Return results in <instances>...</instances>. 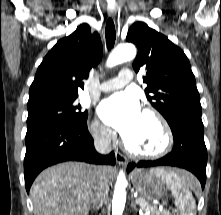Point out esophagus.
Returning <instances> with one entry per match:
<instances>
[{
  "label": "esophagus",
  "instance_id": "esophagus-1",
  "mask_svg": "<svg viewBox=\"0 0 221 215\" xmlns=\"http://www.w3.org/2000/svg\"><path fill=\"white\" fill-rule=\"evenodd\" d=\"M108 13L110 17H112L113 19L115 18L116 11L114 8H109ZM115 158H116L117 163L120 165H126L128 162L126 156L118 150L115 151Z\"/></svg>",
  "mask_w": 221,
  "mask_h": 215
}]
</instances>
